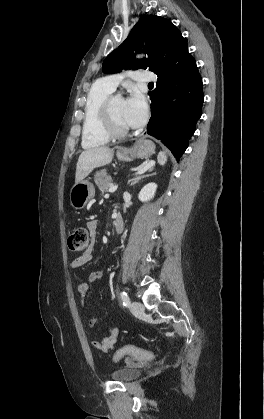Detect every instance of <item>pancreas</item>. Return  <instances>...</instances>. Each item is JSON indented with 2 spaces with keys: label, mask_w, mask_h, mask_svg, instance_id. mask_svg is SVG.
<instances>
[{
  "label": "pancreas",
  "mask_w": 264,
  "mask_h": 419,
  "mask_svg": "<svg viewBox=\"0 0 264 419\" xmlns=\"http://www.w3.org/2000/svg\"><path fill=\"white\" fill-rule=\"evenodd\" d=\"M95 184L101 192H107L112 186V178L106 170L97 171L94 177Z\"/></svg>",
  "instance_id": "obj_1"
}]
</instances>
